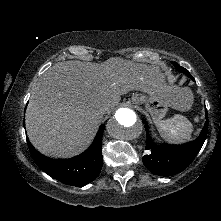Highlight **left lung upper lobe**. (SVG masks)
<instances>
[{"instance_id":"1","label":"left lung upper lobe","mask_w":221,"mask_h":221,"mask_svg":"<svg viewBox=\"0 0 221 221\" xmlns=\"http://www.w3.org/2000/svg\"><path fill=\"white\" fill-rule=\"evenodd\" d=\"M174 65H175V67L179 70V71H181V72H183V70L185 69V68H183V67H181L179 64H177V63H174Z\"/></svg>"}]
</instances>
